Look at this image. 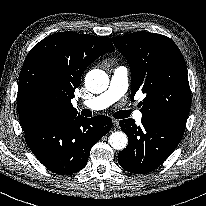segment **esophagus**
I'll list each match as a JSON object with an SVG mask.
<instances>
[{"label":"esophagus","mask_w":206,"mask_h":206,"mask_svg":"<svg viewBox=\"0 0 206 206\" xmlns=\"http://www.w3.org/2000/svg\"><path fill=\"white\" fill-rule=\"evenodd\" d=\"M113 125L114 127L118 128L119 127V121L116 119H113Z\"/></svg>","instance_id":"obj_1"}]
</instances>
